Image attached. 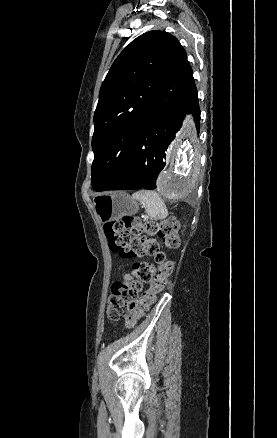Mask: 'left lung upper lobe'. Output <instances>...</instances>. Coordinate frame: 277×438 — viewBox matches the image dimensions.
<instances>
[{"label":"left lung upper lobe","instance_id":"obj_1","mask_svg":"<svg viewBox=\"0 0 277 438\" xmlns=\"http://www.w3.org/2000/svg\"><path fill=\"white\" fill-rule=\"evenodd\" d=\"M151 98L168 100L179 110L198 115L197 90L186 52L175 37L157 30L133 40L102 83L92 137L95 190H105L122 174L140 116Z\"/></svg>","mask_w":277,"mask_h":438}]
</instances>
